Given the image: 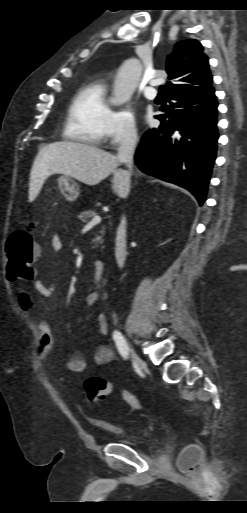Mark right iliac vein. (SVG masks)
<instances>
[{"label": "right iliac vein", "instance_id": "obj_1", "mask_svg": "<svg viewBox=\"0 0 247 513\" xmlns=\"http://www.w3.org/2000/svg\"><path fill=\"white\" fill-rule=\"evenodd\" d=\"M129 350L131 353V356L133 358L134 364L139 368L142 369L144 367L143 360L136 354V352L133 350V348L129 345Z\"/></svg>", "mask_w": 247, "mask_h": 513}]
</instances>
